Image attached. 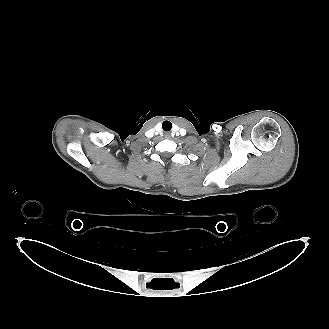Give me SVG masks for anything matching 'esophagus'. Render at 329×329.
Wrapping results in <instances>:
<instances>
[{
	"label": "esophagus",
	"instance_id": "esophagus-1",
	"mask_svg": "<svg viewBox=\"0 0 329 329\" xmlns=\"http://www.w3.org/2000/svg\"><path fill=\"white\" fill-rule=\"evenodd\" d=\"M164 136H165V138H170V133L169 132H165V134H164Z\"/></svg>",
	"mask_w": 329,
	"mask_h": 329
}]
</instances>
